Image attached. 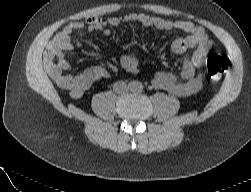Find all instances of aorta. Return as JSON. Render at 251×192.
I'll return each instance as SVG.
<instances>
[{"mask_svg": "<svg viewBox=\"0 0 251 192\" xmlns=\"http://www.w3.org/2000/svg\"><path fill=\"white\" fill-rule=\"evenodd\" d=\"M141 89H142V86L139 85V84H135V85L133 86V91H140Z\"/></svg>", "mask_w": 251, "mask_h": 192, "instance_id": "1", "label": "aorta"}]
</instances>
